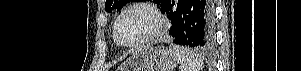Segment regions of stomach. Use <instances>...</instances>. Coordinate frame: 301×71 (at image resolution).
I'll return each instance as SVG.
<instances>
[{
  "instance_id": "stomach-1",
  "label": "stomach",
  "mask_w": 301,
  "mask_h": 71,
  "mask_svg": "<svg viewBox=\"0 0 301 71\" xmlns=\"http://www.w3.org/2000/svg\"><path fill=\"white\" fill-rule=\"evenodd\" d=\"M176 59L165 47L147 46L137 50L119 71H173Z\"/></svg>"
}]
</instances>
